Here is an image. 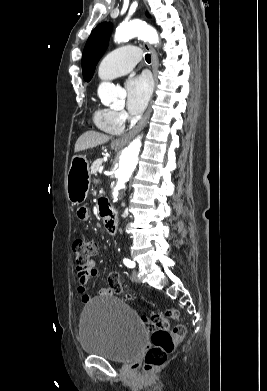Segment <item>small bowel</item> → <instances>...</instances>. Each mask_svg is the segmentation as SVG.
<instances>
[{
  "label": "small bowel",
  "instance_id": "obj_1",
  "mask_svg": "<svg viewBox=\"0 0 267 391\" xmlns=\"http://www.w3.org/2000/svg\"><path fill=\"white\" fill-rule=\"evenodd\" d=\"M77 217L81 220H86L88 217V210L85 207H80L77 210ZM98 274V270L93 263L90 268L87 270H78L76 269V278H77V291L81 296V300L84 303L89 302L90 297L87 293V285L89 280L92 277H95ZM112 292L108 288H102L99 291L100 296H110Z\"/></svg>",
  "mask_w": 267,
  "mask_h": 391
}]
</instances>
